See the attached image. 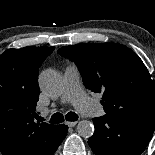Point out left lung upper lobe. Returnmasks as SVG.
Returning a JSON list of instances; mask_svg holds the SVG:
<instances>
[{
	"label": "left lung upper lobe",
	"instance_id": "obj_1",
	"mask_svg": "<svg viewBox=\"0 0 155 155\" xmlns=\"http://www.w3.org/2000/svg\"><path fill=\"white\" fill-rule=\"evenodd\" d=\"M78 66L85 86L102 93L106 115L155 116V90L142 60L117 43L77 44L58 50Z\"/></svg>",
	"mask_w": 155,
	"mask_h": 155
}]
</instances>
